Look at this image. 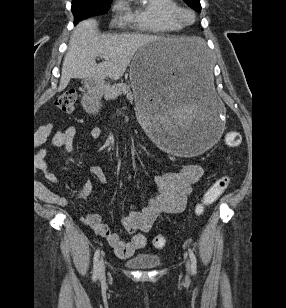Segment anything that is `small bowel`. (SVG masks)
<instances>
[{
    "mask_svg": "<svg viewBox=\"0 0 286 308\" xmlns=\"http://www.w3.org/2000/svg\"><path fill=\"white\" fill-rule=\"evenodd\" d=\"M77 130L71 126L63 130H53L52 124H46L38 128L35 133V143L41 147L48 140L52 147L64 148L72 151ZM93 139L102 135L100 128L95 127L90 131ZM46 150L41 148L37 153V167L43 172L45 178L50 182H57L56 175L51 170V164L45 159ZM93 177L101 184L107 182V175L99 165L91 167ZM203 169L196 164H185L176 171L164 172L154 177L157 195L147 200L141 209L134 207L123 219V226L128 234L129 240H123L119 234L112 232L109 226L102 222L98 213H91L82 218L83 222L90 226L95 233L105 238L115 254L120 258H128L146 245V237L143 232L152 229L157 217L161 213L181 212L191 195L194 185L202 178ZM92 192V184L86 183L78 190L76 196L80 200L86 199ZM42 197L56 205L64 206L68 202L65 198L58 196L48 189L41 193Z\"/></svg>",
    "mask_w": 286,
    "mask_h": 308,
    "instance_id": "c3829d8e",
    "label": "small bowel"
}]
</instances>
